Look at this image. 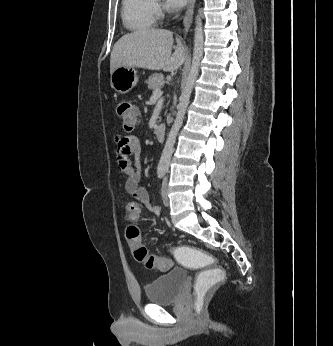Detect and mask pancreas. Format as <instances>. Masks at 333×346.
Here are the masks:
<instances>
[{"label": "pancreas", "mask_w": 333, "mask_h": 346, "mask_svg": "<svg viewBox=\"0 0 333 346\" xmlns=\"http://www.w3.org/2000/svg\"><path fill=\"white\" fill-rule=\"evenodd\" d=\"M146 83L149 89L156 90L161 88V86L164 84V77L161 73H154L148 78Z\"/></svg>", "instance_id": "pancreas-1"}]
</instances>
